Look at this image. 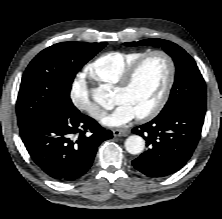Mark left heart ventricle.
<instances>
[{"instance_id": "1", "label": "left heart ventricle", "mask_w": 222, "mask_h": 219, "mask_svg": "<svg viewBox=\"0 0 222 219\" xmlns=\"http://www.w3.org/2000/svg\"><path fill=\"white\" fill-rule=\"evenodd\" d=\"M168 77L165 60L157 55L147 58L139 68L131 86L115 91V104L130 105L137 116L150 110L159 100Z\"/></svg>"}]
</instances>
